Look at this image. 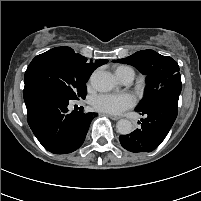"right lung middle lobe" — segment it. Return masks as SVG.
<instances>
[{"mask_svg": "<svg viewBox=\"0 0 201 201\" xmlns=\"http://www.w3.org/2000/svg\"><path fill=\"white\" fill-rule=\"evenodd\" d=\"M87 78L77 75L58 52L47 51L29 64L24 83L38 82L61 92L69 100L85 98Z\"/></svg>", "mask_w": 201, "mask_h": 201, "instance_id": "dd1d6c3e", "label": "right lung middle lobe"}]
</instances>
